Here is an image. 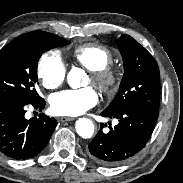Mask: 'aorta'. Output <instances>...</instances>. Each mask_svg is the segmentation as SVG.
<instances>
[{"instance_id": "aorta-1", "label": "aorta", "mask_w": 183, "mask_h": 183, "mask_svg": "<svg viewBox=\"0 0 183 183\" xmlns=\"http://www.w3.org/2000/svg\"><path fill=\"white\" fill-rule=\"evenodd\" d=\"M85 77L84 70L72 68L67 74V82L73 89L82 86V79ZM76 132L84 139L91 138L94 134V124L89 118H79L75 124Z\"/></svg>"}]
</instances>
